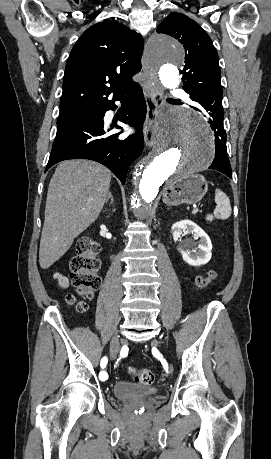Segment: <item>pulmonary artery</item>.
<instances>
[{"mask_svg": "<svg viewBox=\"0 0 271 459\" xmlns=\"http://www.w3.org/2000/svg\"><path fill=\"white\" fill-rule=\"evenodd\" d=\"M171 96H177L181 98V101L185 106H193L195 110H201L203 108V103L201 101H196L194 97H187L188 93L185 90L178 89L177 91H171ZM112 111L109 110L105 113V120H109L112 116Z\"/></svg>", "mask_w": 271, "mask_h": 459, "instance_id": "pulmonary-artery-1", "label": "pulmonary artery"}]
</instances>
